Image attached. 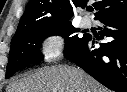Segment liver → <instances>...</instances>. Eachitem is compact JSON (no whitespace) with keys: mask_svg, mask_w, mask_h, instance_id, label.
Wrapping results in <instances>:
<instances>
[{"mask_svg":"<svg viewBox=\"0 0 127 92\" xmlns=\"http://www.w3.org/2000/svg\"><path fill=\"white\" fill-rule=\"evenodd\" d=\"M6 92H109L83 70L59 65L45 67L11 83Z\"/></svg>","mask_w":127,"mask_h":92,"instance_id":"liver-1","label":"liver"}]
</instances>
